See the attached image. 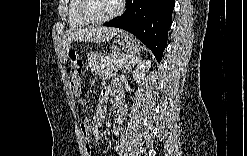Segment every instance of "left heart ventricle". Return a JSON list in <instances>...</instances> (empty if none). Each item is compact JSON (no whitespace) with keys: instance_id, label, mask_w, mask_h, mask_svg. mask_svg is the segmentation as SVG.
<instances>
[{"instance_id":"left-heart-ventricle-1","label":"left heart ventricle","mask_w":247,"mask_h":156,"mask_svg":"<svg viewBox=\"0 0 247 156\" xmlns=\"http://www.w3.org/2000/svg\"><path fill=\"white\" fill-rule=\"evenodd\" d=\"M117 6V1L103 0L90 1L88 3L87 14L90 17L100 18L111 14Z\"/></svg>"}]
</instances>
